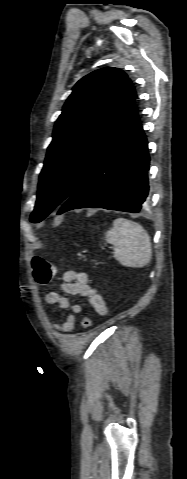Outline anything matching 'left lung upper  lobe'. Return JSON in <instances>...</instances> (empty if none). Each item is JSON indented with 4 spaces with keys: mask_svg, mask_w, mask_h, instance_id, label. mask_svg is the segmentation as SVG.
Wrapping results in <instances>:
<instances>
[{
    "mask_svg": "<svg viewBox=\"0 0 187 479\" xmlns=\"http://www.w3.org/2000/svg\"><path fill=\"white\" fill-rule=\"evenodd\" d=\"M136 96L118 68L96 70L76 83L55 123L31 222L42 221L70 197L119 136Z\"/></svg>",
    "mask_w": 187,
    "mask_h": 479,
    "instance_id": "5c2ea615",
    "label": "left lung upper lobe"
}]
</instances>
